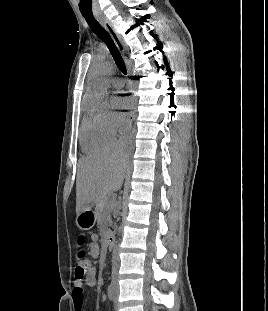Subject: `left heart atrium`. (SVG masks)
<instances>
[{"instance_id":"39dd6f15","label":"left heart atrium","mask_w":268,"mask_h":311,"mask_svg":"<svg viewBox=\"0 0 268 311\" xmlns=\"http://www.w3.org/2000/svg\"><path fill=\"white\" fill-rule=\"evenodd\" d=\"M113 104L116 108L127 109L130 106V101L126 98L114 97Z\"/></svg>"}]
</instances>
